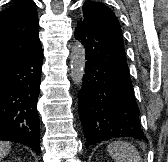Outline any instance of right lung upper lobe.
<instances>
[{"instance_id": "cb5924a9", "label": "right lung upper lobe", "mask_w": 168, "mask_h": 162, "mask_svg": "<svg viewBox=\"0 0 168 162\" xmlns=\"http://www.w3.org/2000/svg\"><path fill=\"white\" fill-rule=\"evenodd\" d=\"M36 5L15 0L0 13V68L41 50Z\"/></svg>"}]
</instances>
